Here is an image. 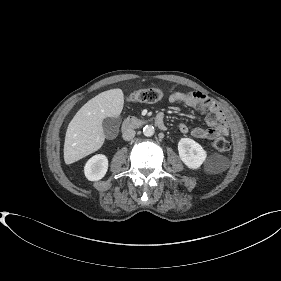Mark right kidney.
Here are the masks:
<instances>
[{
    "label": "right kidney",
    "mask_w": 281,
    "mask_h": 281,
    "mask_svg": "<svg viewBox=\"0 0 281 281\" xmlns=\"http://www.w3.org/2000/svg\"><path fill=\"white\" fill-rule=\"evenodd\" d=\"M108 170V159L103 154L91 157L84 166V174L90 181L102 179Z\"/></svg>",
    "instance_id": "obj_1"
}]
</instances>
